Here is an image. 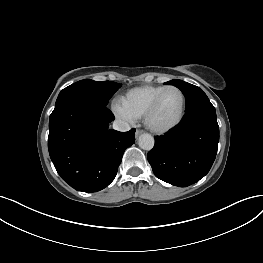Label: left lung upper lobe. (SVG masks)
<instances>
[{
  "label": "left lung upper lobe",
  "instance_id": "obj_1",
  "mask_svg": "<svg viewBox=\"0 0 263 263\" xmlns=\"http://www.w3.org/2000/svg\"><path fill=\"white\" fill-rule=\"evenodd\" d=\"M165 84L178 87L185 95L186 107L185 111L201 103L209 102L206 94L197 86L182 80H171Z\"/></svg>",
  "mask_w": 263,
  "mask_h": 263
}]
</instances>
